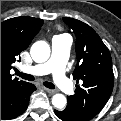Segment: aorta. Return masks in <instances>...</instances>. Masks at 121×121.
<instances>
[{
	"label": "aorta",
	"instance_id": "obj_1",
	"mask_svg": "<svg viewBox=\"0 0 121 121\" xmlns=\"http://www.w3.org/2000/svg\"><path fill=\"white\" fill-rule=\"evenodd\" d=\"M32 59L37 63L46 62L50 57V46L45 41L35 42L30 49ZM67 99L63 94H55L52 97V104L57 109H62L66 106Z\"/></svg>",
	"mask_w": 121,
	"mask_h": 121
}]
</instances>
